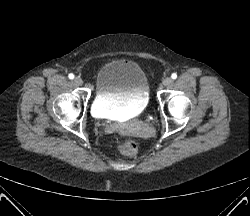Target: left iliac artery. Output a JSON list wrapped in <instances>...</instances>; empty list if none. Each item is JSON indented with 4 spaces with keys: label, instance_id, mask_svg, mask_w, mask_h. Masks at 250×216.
Masks as SVG:
<instances>
[{
    "label": "left iliac artery",
    "instance_id": "44dca946",
    "mask_svg": "<svg viewBox=\"0 0 250 216\" xmlns=\"http://www.w3.org/2000/svg\"><path fill=\"white\" fill-rule=\"evenodd\" d=\"M171 78H172V79H176V78H177V74H176V73H173V74L171 75Z\"/></svg>",
    "mask_w": 250,
    "mask_h": 216
}]
</instances>
